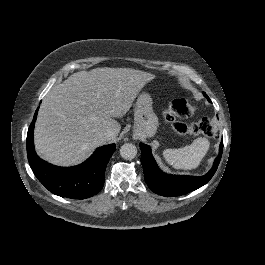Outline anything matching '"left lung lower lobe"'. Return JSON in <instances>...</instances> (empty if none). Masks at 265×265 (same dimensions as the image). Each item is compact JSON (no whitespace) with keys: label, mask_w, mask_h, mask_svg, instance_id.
I'll use <instances>...</instances> for the list:
<instances>
[{"label":"left lung lower lobe","mask_w":265,"mask_h":265,"mask_svg":"<svg viewBox=\"0 0 265 265\" xmlns=\"http://www.w3.org/2000/svg\"><path fill=\"white\" fill-rule=\"evenodd\" d=\"M203 94L210 101L208 96L205 93ZM140 149L142 151L141 163L144 178L149 188L162 196H180L200 188L212 178L222 156L223 141L220 143L219 155L215 159L213 167L206 175L201 177L168 175L159 169L148 145L141 143Z\"/></svg>","instance_id":"1"}]
</instances>
